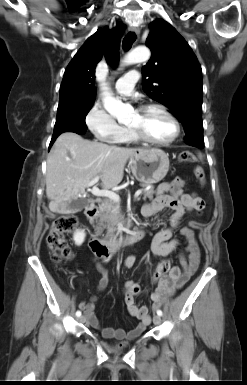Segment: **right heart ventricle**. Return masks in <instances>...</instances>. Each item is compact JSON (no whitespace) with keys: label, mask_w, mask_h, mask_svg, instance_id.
Instances as JSON below:
<instances>
[{"label":"right heart ventricle","mask_w":247,"mask_h":385,"mask_svg":"<svg viewBox=\"0 0 247 385\" xmlns=\"http://www.w3.org/2000/svg\"><path fill=\"white\" fill-rule=\"evenodd\" d=\"M135 141H136V138L132 135L130 130L127 129V128H124L119 142H121V143H131V142H135Z\"/></svg>","instance_id":"obj_1"}]
</instances>
